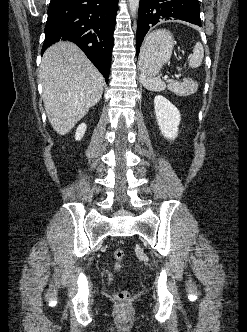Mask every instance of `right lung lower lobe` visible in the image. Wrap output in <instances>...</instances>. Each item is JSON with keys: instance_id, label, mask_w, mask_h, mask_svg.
<instances>
[{"instance_id": "right-lung-lower-lobe-1", "label": "right lung lower lobe", "mask_w": 247, "mask_h": 332, "mask_svg": "<svg viewBox=\"0 0 247 332\" xmlns=\"http://www.w3.org/2000/svg\"><path fill=\"white\" fill-rule=\"evenodd\" d=\"M118 0H51L42 53L59 40L74 42L108 82Z\"/></svg>"}]
</instances>
